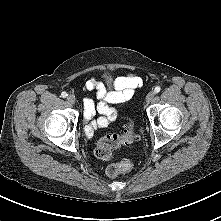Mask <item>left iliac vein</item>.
Segmentation results:
<instances>
[{
	"label": "left iliac vein",
	"instance_id": "obj_1",
	"mask_svg": "<svg viewBox=\"0 0 221 221\" xmlns=\"http://www.w3.org/2000/svg\"><path fill=\"white\" fill-rule=\"evenodd\" d=\"M154 96H155V92L150 91L146 96V102L150 103L153 100Z\"/></svg>",
	"mask_w": 221,
	"mask_h": 221
}]
</instances>
